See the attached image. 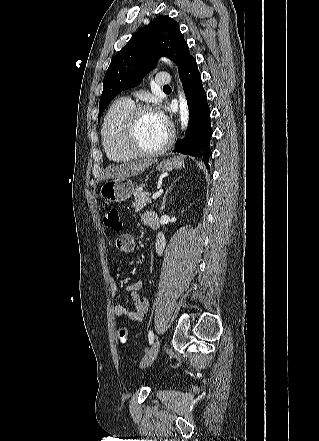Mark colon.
Instances as JSON below:
<instances>
[{"instance_id": "colon-1", "label": "colon", "mask_w": 319, "mask_h": 441, "mask_svg": "<svg viewBox=\"0 0 319 441\" xmlns=\"http://www.w3.org/2000/svg\"><path fill=\"white\" fill-rule=\"evenodd\" d=\"M104 226L112 231L119 232L122 229V219L118 208H110L105 211L103 216ZM118 336L122 342L126 341L127 329L125 327L119 328Z\"/></svg>"}]
</instances>
